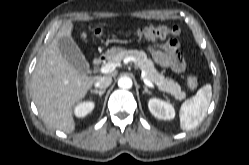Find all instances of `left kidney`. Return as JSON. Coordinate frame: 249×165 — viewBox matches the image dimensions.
Segmentation results:
<instances>
[{
    "instance_id": "obj_1",
    "label": "left kidney",
    "mask_w": 249,
    "mask_h": 165,
    "mask_svg": "<svg viewBox=\"0 0 249 165\" xmlns=\"http://www.w3.org/2000/svg\"><path fill=\"white\" fill-rule=\"evenodd\" d=\"M150 112L158 119L171 120L175 117L173 106L157 98H152L148 102Z\"/></svg>"
}]
</instances>
